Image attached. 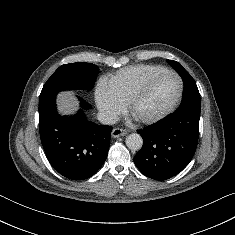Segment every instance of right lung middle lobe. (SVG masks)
<instances>
[{
    "instance_id": "dd1d6c3e",
    "label": "right lung middle lobe",
    "mask_w": 235,
    "mask_h": 235,
    "mask_svg": "<svg viewBox=\"0 0 235 235\" xmlns=\"http://www.w3.org/2000/svg\"><path fill=\"white\" fill-rule=\"evenodd\" d=\"M99 69L92 63H71L60 66L44 84L39 99L62 90L93 88Z\"/></svg>"
}]
</instances>
